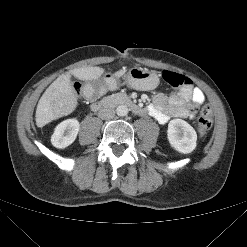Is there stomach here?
<instances>
[{
  "mask_svg": "<svg viewBox=\"0 0 247 247\" xmlns=\"http://www.w3.org/2000/svg\"><path fill=\"white\" fill-rule=\"evenodd\" d=\"M125 80L130 87L144 91L153 90L159 84V78L156 73L138 67L130 69L125 75Z\"/></svg>",
  "mask_w": 247,
  "mask_h": 247,
  "instance_id": "obj_1",
  "label": "stomach"
}]
</instances>
